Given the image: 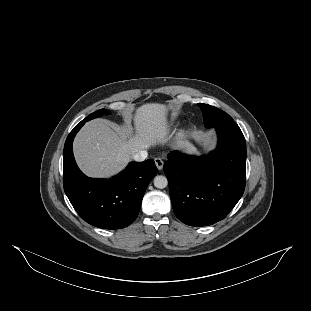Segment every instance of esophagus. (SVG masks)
<instances>
[{
  "instance_id": "34e87169",
  "label": "esophagus",
  "mask_w": 311,
  "mask_h": 311,
  "mask_svg": "<svg viewBox=\"0 0 311 311\" xmlns=\"http://www.w3.org/2000/svg\"><path fill=\"white\" fill-rule=\"evenodd\" d=\"M154 162H155V164H156L157 169H158V170H162L163 165H164L163 160H162L161 158L158 157V158H155V159H154Z\"/></svg>"
}]
</instances>
